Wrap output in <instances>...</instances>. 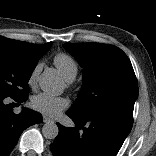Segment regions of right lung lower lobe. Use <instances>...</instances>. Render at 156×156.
<instances>
[{
  "label": "right lung lower lobe",
  "mask_w": 156,
  "mask_h": 156,
  "mask_svg": "<svg viewBox=\"0 0 156 156\" xmlns=\"http://www.w3.org/2000/svg\"><path fill=\"white\" fill-rule=\"evenodd\" d=\"M5 98L6 96L0 94V156L9 155L26 128L42 122V115L29 109L14 114L12 104L6 105ZM14 100L21 103L27 97Z\"/></svg>",
  "instance_id": "98d812e1"
}]
</instances>
